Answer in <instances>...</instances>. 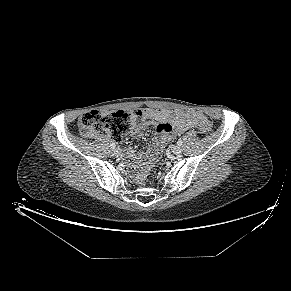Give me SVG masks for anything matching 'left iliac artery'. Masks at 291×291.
<instances>
[{"label": "left iliac artery", "mask_w": 291, "mask_h": 291, "mask_svg": "<svg viewBox=\"0 0 291 291\" xmlns=\"http://www.w3.org/2000/svg\"><path fill=\"white\" fill-rule=\"evenodd\" d=\"M177 144H178L179 146H181V145L183 144V142H182L181 140H178V141H177Z\"/></svg>", "instance_id": "obj_1"}]
</instances>
